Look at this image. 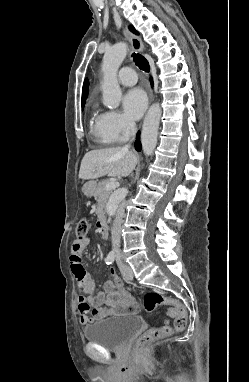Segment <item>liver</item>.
<instances>
[{"label":"liver","instance_id":"obj_1","mask_svg":"<svg viewBox=\"0 0 249 382\" xmlns=\"http://www.w3.org/2000/svg\"><path fill=\"white\" fill-rule=\"evenodd\" d=\"M137 162V154L122 147L92 150L87 152L81 161L79 178L89 180L104 175L127 177Z\"/></svg>","mask_w":249,"mask_h":382}]
</instances>
